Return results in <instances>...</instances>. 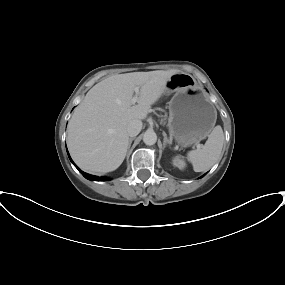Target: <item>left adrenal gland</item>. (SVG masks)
I'll use <instances>...</instances> for the list:
<instances>
[{
  "instance_id": "a2214340",
  "label": "left adrenal gland",
  "mask_w": 285,
  "mask_h": 285,
  "mask_svg": "<svg viewBox=\"0 0 285 285\" xmlns=\"http://www.w3.org/2000/svg\"><path fill=\"white\" fill-rule=\"evenodd\" d=\"M163 137H164V141H163V145H164V147L167 145V144H169V145H171L172 144V142L167 138V135H166V133L163 131Z\"/></svg>"
}]
</instances>
